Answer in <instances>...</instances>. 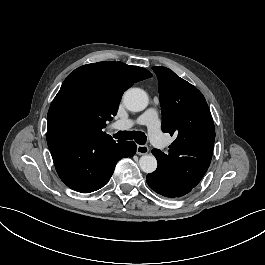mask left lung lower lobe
<instances>
[{
	"label": "left lung lower lobe",
	"mask_w": 265,
	"mask_h": 265,
	"mask_svg": "<svg viewBox=\"0 0 265 265\" xmlns=\"http://www.w3.org/2000/svg\"><path fill=\"white\" fill-rule=\"evenodd\" d=\"M146 181L156 193L169 198L184 196L194 188L182 177L160 164L156 171L147 175Z\"/></svg>",
	"instance_id": "0a47b994"
}]
</instances>
